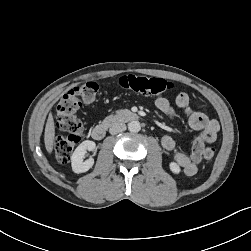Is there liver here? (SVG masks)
I'll list each match as a JSON object with an SVG mask.
<instances>
[{
	"mask_svg": "<svg viewBox=\"0 0 251 251\" xmlns=\"http://www.w3.org/2000/svg\"><path fill=\"white\" fill-rule=\"evenodd\" d=\"M54 137H55V126H54L53 116L50 113L46 122L45 133H44L45 148L49 154H51L53 150Z\"/></svg>",
	"mask_w": 251,
	"mask_h": 251,
	"instance_id": "1",
	"label": "liver"
}]
</instances>
